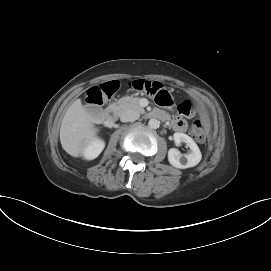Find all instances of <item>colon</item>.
<instances>
[{"label": "colon", "mask_w": 271, "mask_h": 271, "mask_svg": "<svg viewBox=\"0 0 271 271\" xmlns=\"http://www.w3.org/2000/svg\"><path fill=\"white\" fill-rule=\"evenodd\" d=\"M120 87L118 81H109L100 86L92 87L86 96V103L93 109H97L110 98ZM132 90L139 91L154 97L157 104L169 106L172 104L170 93L164 89L160 82L147 79H134L128 83ZM178 111L184 116H190L194 112V105L190 100H185L178 105ZM192 135L198 142L206 138V129L202 120L196 119L192 123Z\"/></svg>", "instance_id": "colon-1"}]
</instances>
